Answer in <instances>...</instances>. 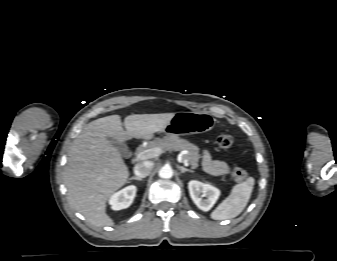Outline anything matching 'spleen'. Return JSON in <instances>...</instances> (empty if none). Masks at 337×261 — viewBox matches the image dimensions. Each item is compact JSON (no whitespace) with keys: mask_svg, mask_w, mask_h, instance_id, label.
I'll return each instance as SVG.
<instances>
[{"mask_svg":"<svg viewBox=\"0 0 337 261\" xmlns=\"http://www.w3.org/2000/svg\"><path fill=\"white\" fill-rule=\"evenodd\" d=\"M254 183L255 179L249 177L244 182L236 184L229 196L211 213V218L214 220H224L238 216L250 199Z\"/></svg>","mask_w":337,"mask_h":261,"instance_id":"3e777b00","label":"spleen"}]
</instances>
